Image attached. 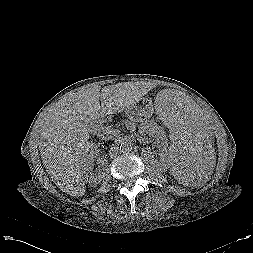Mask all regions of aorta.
<instances>
[{
	"label": "aorta",
	"mask_w": 253,
	"mask_h": 253,
	"mask_svg": "<svg viewBox=\"0 0 253 253\" xmlns=\"http://www.w3.org/2000/svg\"><path fill=\"white\" fill-rule=\"evenodd\" d=\"M118 147H119V150L122 152V153H127L129 151L132 150V144L130 141L128 140H121L119 143H118Z\"/></svg>",
	"instance_id": "762f6f07"
}]
</instances>
